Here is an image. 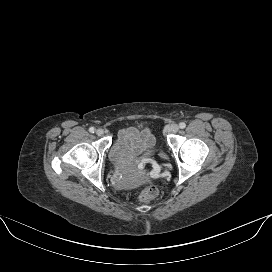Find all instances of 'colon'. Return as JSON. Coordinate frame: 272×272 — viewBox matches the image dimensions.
Listing matches in <instances>:
<instances>
[{
	"label": "colon",
	"instance_id": "5ec220e1",
	"mask_svg": "<svg viewBox=\"0 0 272 272\" xmlns=\"http://www.w3.org/2000/svg\"><path fill=\"white\" fill-rule=\"evenodd\" d=\"M158 193L159 191L156 186L154 185L146 186L140 194V200L145 203L150 202L151 200L158 196Z\"/></svg>",
	"mask_w": 272,
	"mask_h": 272
}]
</instances>
